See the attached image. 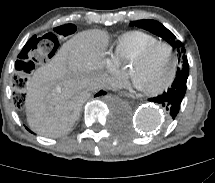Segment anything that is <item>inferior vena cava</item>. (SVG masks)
<instances>
[{"mask_svg":"<svg viewBox=\"0 0 215 183\" xmlns=\"http://www.w3.org/2000/svg\"><path fill=\"white\" fill-rule=\"evenodd\" d=\"M111 84H112L111 78L108 75L103 74L100 77L96 78L95 80L91 81L88 84V88L91 91H97L101 88H109L111 87Z\"/></svg>","mask_w":215,"mask_h":183,"instance_id":"602c4592","label":"inferior vena cava"}]
</instances>
